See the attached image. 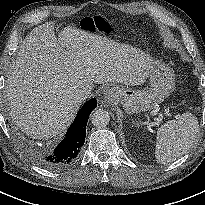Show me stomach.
<instances>
[{"mask_svg": "<svg viewBox=\"0 0 205 205\" xmlns=\"http://www.w3.org/2000/svg\"><path fill=\"white\" fill-rule=\"evenodd\" d=\"M82 30L89 33H104L99 23L86 21ZM150 87L144 90H132L125 87H113L110 99L113 103H121L126 113L135 114L149 111L160 104L174 90V71L164 62L153 60L149 70Z\"/></svg>", "mask_w": 205, "mask_h": 205, "instance_id": "1", "label": "stomach"}]
</instances>
